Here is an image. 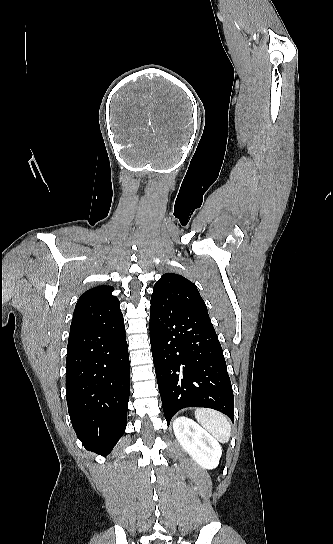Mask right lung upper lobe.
Instances as JSON below:
<instances>
[{"instance_id": "1", "label": "right lung upper lobe", "mask_w": 333, "mask_h": 544, "mask_svg": "<svg viewBox=\"0 0 333 544\" xmlns=\"http://www.w3.org/2000/svg\"><path fill=\"white\" fill-rule=\"evenodd\" d=\"M113 291V287L101 285L82 294L77 301L70 330L120 313V302L112 295Z\"/></svg>"}]
</instances>
